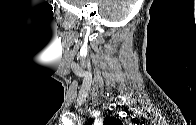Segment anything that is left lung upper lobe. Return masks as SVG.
<instances>
[{"mask_svg": "<svg viewBox=\"0 0 196 125\" xmlns=\"http://www.w3.org/2000/svg\"><path fill=\"white\" fill-rule=\"evenodd\" d=\"M104 124H106V125H122V123L119 119H115V118H111V117H106Z\"/></svg>", "mask_w": 196, "mask_h": 125, "instance_id": "obj_1", "label": "left lung upper lobe"}]
</instances>
